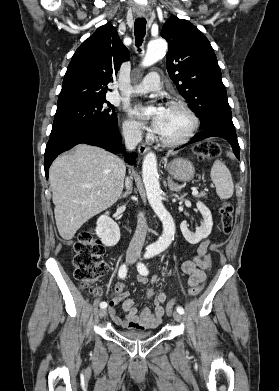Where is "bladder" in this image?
<instances>
[{
    "mask_svg": "<svg viewBox=\"0 0 279 391\" xmlns=\"http://www.w3.org/2000/svg\"><path fill=\"white\" fill-rule=\"evenodd\" d=\"M118 334L128 340L141 341L145 340L153 335L152 332H139V331H130V330H120Z\"/></svg>",
    "mask_w": 279,
    "mask_h": 391,
    "instance_id": "1",
    "label": "bladder"
}]
</instances>
